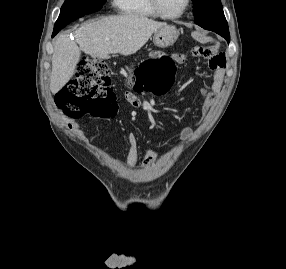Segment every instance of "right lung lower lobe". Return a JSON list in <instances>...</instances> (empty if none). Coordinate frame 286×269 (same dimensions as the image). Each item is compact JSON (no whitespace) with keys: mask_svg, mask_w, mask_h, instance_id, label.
Masks as SVG:
<instances>
[{"mask_svg":"<svg viewBox=\"0 0 286 269\" xmlns=\"http://www.w3.org/2000/svg\"><path fill=\"white\" fill-rule=\"evenodd\" d=\"M59 31H53L52 37H54Z\"/></svg>","mask_w":286,"mask_h":269,"instance_id":"98d812e1","label":"right lung lower lobe"}]
</instances>
